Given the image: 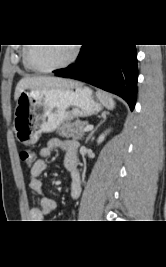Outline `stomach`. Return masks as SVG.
Listing matches in <instances>:
<instances>
[{
  "instance_id": "1",
  "label": "stomach",
  "mask_w": 166,
  "mask_h": 267,
  "mask_svg": "<svg viewBox=\"0 0 166 267\" xmlns=\"http://www.w3.org/2000/svg\"><path fill=\"white\" fill-rule=\"evenodd\" d=\"M103 103L92 91L78 85L67 89H26L14 110L13 129L19 142L35 144L65 121L100 112Z\"/></svg>"
}]
</instances>
